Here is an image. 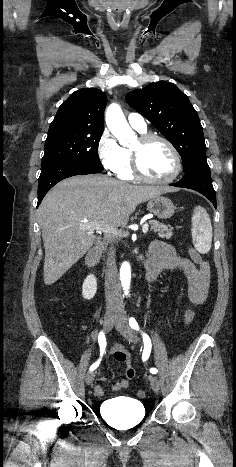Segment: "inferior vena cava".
<instances>
[{"instance_id":"obj_1","label":"inferior vena cava","mask_w":236,"mask_h":467,"mask_svg":"<svg viewBox=\"0 0 236 467\" xmlns=\"http://www.w3.org/2000/svg\"><path fill=\"white\" fill-rule=\"evenodd\" d=\"M105 273V297L107 307L123 308V297L116 265V250L110 248Z\"/></svg>"}]
</instances>
